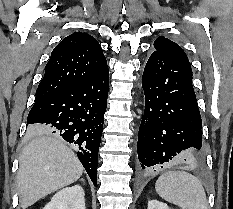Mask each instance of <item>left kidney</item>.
<instances>
[{
  "label": "left kidney",
  "mask_w": 233,
  "mask_h": 209,
  "mask_svg": "<svg viewBox=\"0 0 233 209\" xmlns=\"http://www.w3.org/2000/svg\"><path fill=\"white\" fill-rule=\"evenodd\" d=\"M147 209H170L167 204L158 200H150Z\"/></svg>",
  "instance_id": "1"
}]
</instances>
